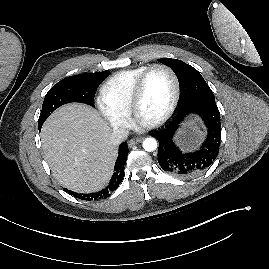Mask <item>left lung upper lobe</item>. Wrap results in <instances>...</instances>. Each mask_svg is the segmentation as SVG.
<instances>
[{"label":"left lung upper lobe","mask_w":269,"mask_h":269,"mask_svg":"<svg viewBox=\"0 0 269 269\" xmlns=\"http://www.w3.org/2000/svg\"><path fill=\"white\" fill-rule=\"evenodd\" d=\"M158 61L169 66L177 75L181 88L180 107L193 101H215L212 90L195 68L177 59L163 58Z\"/></svg>","instance_id":"obj_1"}]
</instances>
